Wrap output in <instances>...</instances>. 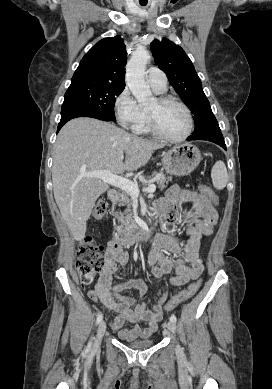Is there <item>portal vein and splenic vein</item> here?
Segmentation results:
<instances>
[{
    "label": "portal vein and splenic vein",
    "instance_id": "portal-vein-and-splenic-vein-1",
    "mask_svg": "<svg viewBox=\"0 0 272 389\" xmlns=\"http://www.w3.org/2000/svg\"><path fill=\"white\" fill-rule=\"evenodd\" d=\"M82 176L85 177H95L103 180L104 182L113 185L125 192H127L131 197L137 198L139 196L140 190L136 183L133 181L123 178L121 176L112 174L105 170L92 171L87 173H82ZM156 190V186L152 183L148 187L143 188V192L153 193Z\"/></svg>",
    "mask_w": 272,
    "mask_h": 389
}]
</instances>
